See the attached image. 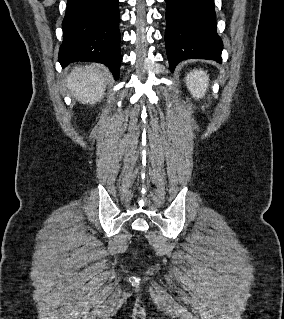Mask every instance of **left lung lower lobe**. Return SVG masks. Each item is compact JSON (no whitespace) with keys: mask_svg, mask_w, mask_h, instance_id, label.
Here are the masks:
<instances>
[{"mask_svg":"<svg viewBox=\"0 0 284 319\" xmlns=\"http://www.w3.org/2000/svg\"><path fill=\"white\" fill-rule=\"evenodd\" d=\"M165 43L171 72L185 59L221 63L223 43L216 33L213 0H165Z\"/></svg>","mask_w":284,"mask_h":319,"instance_id":"obj_1","label":"left lung lower lobe"}]
</instances>
